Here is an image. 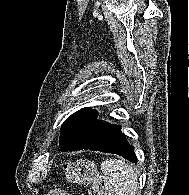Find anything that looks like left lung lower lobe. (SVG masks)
Listing matches in <instances>:
<instances>
[{"mask_svg":"<svg viewBox=\"0 0 189 195\" xmlns=\"http://www.w3.org/2000/svg\"><path fill=\"white\" fill-rule=\"evenodd\" d=\"M96 113L64 145L60 151L96 150L115 153L137 163L134 147L129 145L119 125L96 120Z\"/></svg>","mask_w":189,"mask_h":195,"instance_id":"obj_1","label":"left lung lower lobe"}]
</instances>
